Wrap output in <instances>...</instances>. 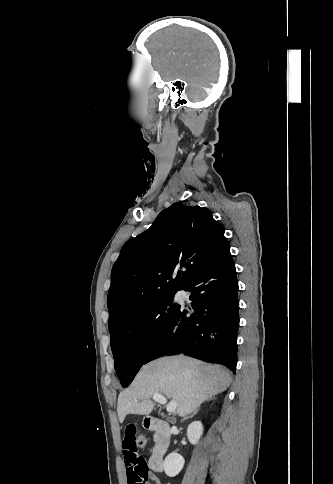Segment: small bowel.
Here are the masks:
<instances>
[{
	"label": "small bowel",
	"instance_id": "small-bowel-1",
	"mask_svg": "<svg viewBox=\"0 0 333 484\" xmlns=\"http://www.w3.org/2000/svg\"><path fill=\"white\" fill-rule=\"evenodd\" d=\"M136 438L135 425L128 423L125 426L122 443L127 483L147 484L150 481L153 484H161L157 476L149 470L145 458L139 454Z\"/></svg>",
	"mask_w": 333,
	"mask_h": 484
}]
</instances>
